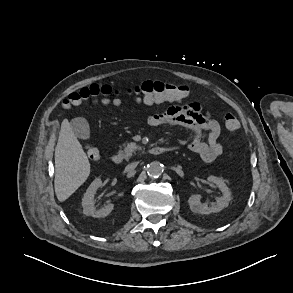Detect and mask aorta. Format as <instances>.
Instances as JSON below:
<instances>
[{"label":"aorta","mask_w":293,"mask_h":293,"mask_svg":"<svg viewBox=\"0 0 293 293\" xmlns=\"http://www.w3.org/2000/svg\"><path fill=\"white\" fill-rule=\"evenodd\" d=\"M164 171V166L158 161H153L147 166V173L150 177L158 178Z\"/></svg>","instance_id":"aorta-1"}]
</instances>
